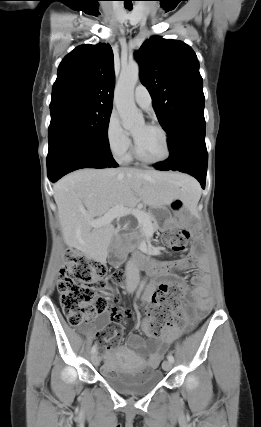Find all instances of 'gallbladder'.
Returning <instances> with one entry per match:
<instances>
[{
  "mask_svg": "<svg viewBox=\"0 0 261 427\" xmlns=\"http://www.w3.org/2000/svg\"><path fill=\"white\" fill-rule=\"evenodd\" d=\"M110 261H111L113 264L118 263V261H120V257H119V255H114V254H112V255L110 256Z\"/></svg>",
  "mask_w": 261,
  "mask_h": 427,
  "instance_id": "bac80fb5",
  "label": "gallbladder"
}]
</instances>
